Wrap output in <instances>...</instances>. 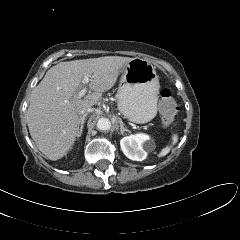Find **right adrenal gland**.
Returning <instances> with one entry per match:
<instances>
[{"label": "right adrenal gland", "mask_w": 240, "mask_h": 240, "mask_svg": "<svg viewBox=\"0 0 240 240\" xmlns=\"http://www.w3.org/2000/svg\"><path fill=\"white\" fill-rule=\"evenodd\" d=\"M86 116H87V114L83 115V116L80 118V128H79L77 137H80V136L82 135Z\"/></svg>", "instance_id": "2a0ac1e0"}]
</instances>
